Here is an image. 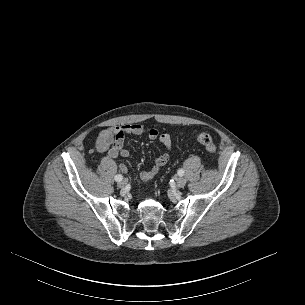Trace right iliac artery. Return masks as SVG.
<instances>
[{"instance_id":"82829eb1","label":"right iliac artery","mask_w":305,"mask_h":305,"mask_svg":"<svg viewBox=\"0 0 305 305\" xmlns=\"http://www.w3.org/2000/svg\"><path fill=\"white\" fill-rule=\"evenodd\" d=\"M122 179H123V176L121 174H118V175L115 176V181L116 182H120V181H122Z\"/></svg>"}]
</instances>
